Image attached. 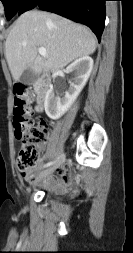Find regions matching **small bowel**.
<instances>
[{
	"label": "small bowel",
	"instance_id": "small-bowel-1",
	"mask_svg": "<svg viewBox=\"0 0 133 253\" xmlns=\"http://www.w3.org/2000/svg\"><path fill=\"white\" fill-rule=\"evenodd\" d=\"M45 159L46 157H42L39 163L35 167H33L30 170L23 171L21 173V176L25 180L32 179L37 174V172L41 169ZM43 184L58 191H65L71 188L72 185L74 184V177L67 168H60L58 170V176L49 175L43 181Z\"/></svg>",
	"mask_w": 133,
	"mask_h": 253
}]
</instances>
